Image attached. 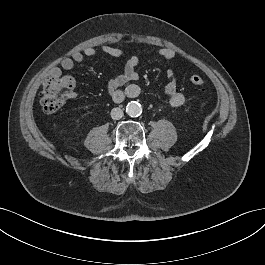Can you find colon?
Listing matches in <instances>:
<instances>
[{
	"instance_id": "obj_1",
	"label": "colon",
	"mask_w": 265,
	"mask_h": 265,
	"mask_svg": "<svg viewBox=\"0 0 265 265\" xmlns=\"http://www.w3.org/2000/svg\"><path fill=\"white\" fill-rule=\"evenodd\" d=\"M190 82L198 87H203L204 79L199 75H192ZM75 81L71 76L50 75L43 83L39 101L45 113L52 114L62 109L67 99L74 91Z\"/></svg>"
}]
</instances>
